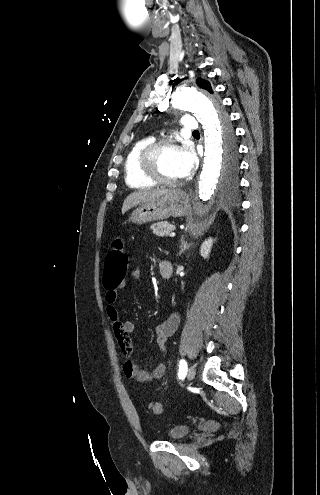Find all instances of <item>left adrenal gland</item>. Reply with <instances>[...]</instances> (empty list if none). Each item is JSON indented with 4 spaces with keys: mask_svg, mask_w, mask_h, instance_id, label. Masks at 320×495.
Segmentation results:
<instances>
[{
    "mask_svg": "<svg viewBox=\"0 0 320 495\" xmlns=\"http://www.w3.org/2000/svg\"><path fill=\"white\" fill-rule=\"evenodd\" d=\"M187 248H188V243L187 241H185L184 237H182L179 255H181Z\"/></svg>",
    "mask_w": 320,
    "mask_h": 495,
    "instance_id": "a2214340",
    "label": "left adrenal gland"
}]
</instances>
